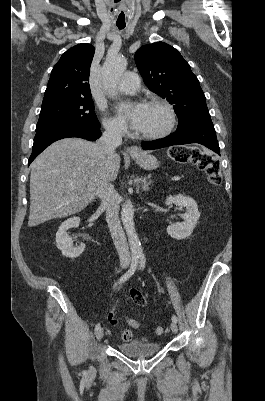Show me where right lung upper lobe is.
I'll use <instances>...</instances> for the list:
<instances>
[{
    "label": "right lung upper lobe",
    "mask_w": 265,
    "mask_h": 401,
    "mask_svg": "<svg viewBox=\"0 0 265 401\" xmlns=\"http://www.w3.org/2000/svg\"><path fill=\"white\" fill-rule=\"evenodd\" d=\"M95 49L91 44H78L67 50L51 71L43 104L57 100L91 97L88 84Z\"/></svg>",
    "instance_id": "1"
}]
</instances>
